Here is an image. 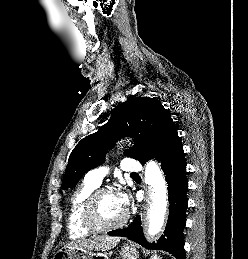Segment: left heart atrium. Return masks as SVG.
I'll use <instances>...</instances> for the list:
<instances>
[{"label":"left heart atrium","instance_id":"obj_1","mask_svg":"<svg viewBox=\"0 0 248 259\" xmlns=\"http://www.w3.org/2000/svg\"><path fill=\"white\" fill-rule=\"evenodd\" d=\"M118 199L120 201V203L123 205V207L126 209L127 205H128V197L125 193H117Z\"/></svg>","mask_w":248,"mask_h":259}]
</instances>
